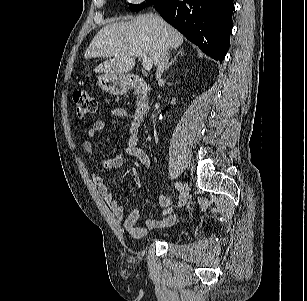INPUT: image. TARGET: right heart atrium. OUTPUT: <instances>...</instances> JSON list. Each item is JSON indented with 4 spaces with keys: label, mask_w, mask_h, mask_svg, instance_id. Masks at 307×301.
<instances>
[{
    "label": "right heart atrium",
    "mask_w": 307,
    "mask_h": 301,
    "mask_svg": "<svg viewBox=\"0 0 307 301\" xmlns=\"http://www.w3.org/2000/svg\"><path fill=\"white\" fill-rule=\"evenodd\" d=\"M130 4L139 5L144 3L146 0H127Z\"/></svg>",
    "instance_id": "right-heart-atrium-1"
}]
</instances>
